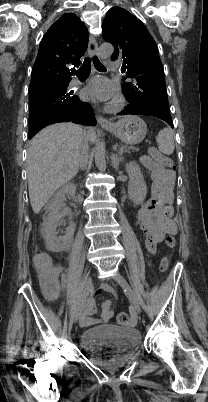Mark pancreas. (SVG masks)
<instances>
[{
	"mask_svg": "<svg viewBox=\"0 0 208 402\" xmlns=\"http://www.w3.org/2000/svg\"><path fill=\"white\" fill-rule=\"evenodd\" d=\"M124 152H130V150H135V152H138V148H134V146H123Z\"/></svg>",
	"mask_w": 208,
	"mask_h": 402,
	"instance_id": "pancreas-1",
	"label": "pancreas"
}]
</instances>
